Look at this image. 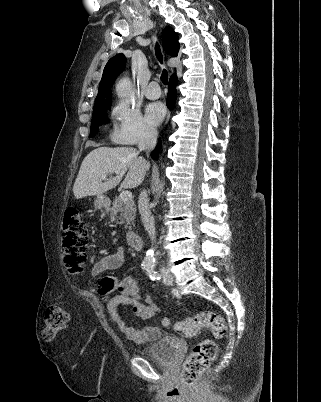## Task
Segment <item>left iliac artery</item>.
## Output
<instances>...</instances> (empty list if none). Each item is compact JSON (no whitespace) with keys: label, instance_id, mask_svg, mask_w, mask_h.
<instances>
[{"label":"left iliac artery","instance_id":"44dca946","mask_svg":"<svg viewBox=\"0 0 321 402\" xmlns=\"http://www.w3.org/2000/svg\"><path fill=\"white\" fill-rule=\"evenodd\" d=\"M147 274L152 280H160V275L154 270L153 266L147 270Z\"/></svg>","mask_w":321,"mask_h":402}]
</instances>
